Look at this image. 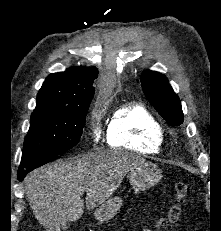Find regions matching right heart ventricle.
<instances>
[{"label": "right heart ventricle", "instance_id": "obj_1", "mask_svg": "<svg viewBox=\"0 0 221 231\" xmlns=\"http://www.w3.org/2000/svg\"><path fill=\"white\" fill-rule=\"evenodd\" d=\"M109 146L142 154L157 153L164 143L160 122L141 104H125L110 118Z\"/></svg>", "mask_w": 221, "mask_h": 231}]
</instances>
